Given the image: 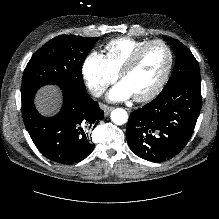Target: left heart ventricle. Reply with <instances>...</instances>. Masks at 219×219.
Listing matches in <instances>:
<instances>
[{
  "instance_id": "1",
  "label": "left heart ventricle",
  "mask_w": 219,
  "mask_h": 219,
  "mask_svg": "<svg viewBox=\"0 0 219 219\" xmlns=\"http://www.w3.org/2000/svg\"><path fill=\"white\" fill-rule=\"evenodd\" d=\"M169 62L167 50L159 44L150 46L122 81L133 96L148 92L162 77Z\"/></svg>"
}]
</instances>
